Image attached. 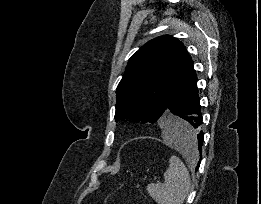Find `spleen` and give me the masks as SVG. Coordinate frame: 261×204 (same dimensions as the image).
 <instances>
[{
    "label": "spleen",
    "mask_w": 261,
    "mask_h": 204,
    "mask_svg": "<svg viewBox=\"0 0 261 204\" xmlns=\"http://www.w3.org/2000/svg\"><path fill=\"white\" fill-rule=\"evenodd\" d=\"M173 120H180L172 117ZM164 142L176 148L177 150L188 153L192 148L197 153V144L195 138L189 141H180L175 139L168 130H163ZM165 182L163 184L151 183L147 186L149 195L158 204H183L190 189V175L184 163L176 156L169 159V168L164 173Z\"/></svg>",
    "instance_id": "1"
}]
</instances>
